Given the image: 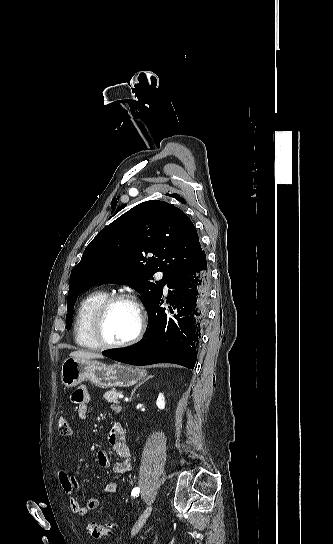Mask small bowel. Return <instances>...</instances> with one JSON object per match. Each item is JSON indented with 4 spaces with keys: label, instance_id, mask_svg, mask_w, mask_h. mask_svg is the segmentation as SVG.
Wrapping results in <instances>:
<instances>
[{
    "label": "small bowel",
    "instance_id": "1",
    "mask_svg": "<svg viewBox=\"0 0 333 544\" xmlns=\"http://www.w3.org/2000/svg\"><path fill=\"white\" fill-rule=\"evenodd\" d=\"M72 402L76 405L78 417L81 420H85L88 414V404L90 403L91 396L85 386L77 388L71 396ZM115 411H119L118 406H113ZM108 442L111 452L119 458L113 465L110 460L108 451L102 450L97 454V464L107 469L112 467V471L115 474L125 475L131 470V452L125 441L124 431L119 423H114L108 432ZM59 479L61 485L69 497V506L71 511L79 516H85L89 510H94L99 506V499L97 497H91L87 499L85 504L79 501L78 493L79 487L75 476L69 475L66 471H60ZM118 490V486L115 482H110L105 486V493L115 494Z\"/></svg>",
    "mask_w": 333,
    "mask_h": 544
}]
</instances>
